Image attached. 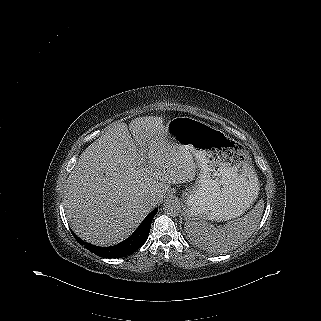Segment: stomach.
I'll return each instance as SVG.
<instances>
[{"label": "stomach", "instance_id": "1", "mask_svg": "<svg viewBox=\"0 0 321 321\" xmlns=\"http://www.w3.org/2000/svg\"><path fill=\"white\" fill-rule=\"evenodd\" d=\"M165 128L200 169L196 185L182 194L186 218L221 221L242 215L259 190L247 152L223 131L191 117L173 118Z\"/></svg>", "mask_w": 321, "mask_h": 321}]
</instances>
